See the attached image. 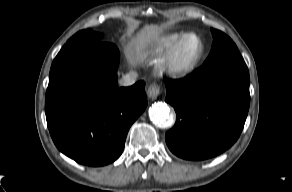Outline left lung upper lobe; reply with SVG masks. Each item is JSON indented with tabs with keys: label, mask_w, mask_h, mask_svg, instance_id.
Instances as JSON below:
<instances>
[{
	"label": "left lung upper lobe",
	"mask_w": 292,
	"mask_h": 192,
	"mask_svg": "<svg viewBox=\"0 0 292 192\" xmlns=\"http://www.w3.org/2000/svg\"><path fill=\"white\" fill-rule=\"evenodd\" d=\"M213 34L212 50L203 65H210L222 60H243L235 43L221 31L211 29Z\"/></svg>",
	"instance_id": "1"
}]
</instances>
